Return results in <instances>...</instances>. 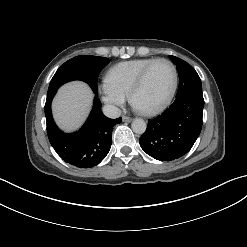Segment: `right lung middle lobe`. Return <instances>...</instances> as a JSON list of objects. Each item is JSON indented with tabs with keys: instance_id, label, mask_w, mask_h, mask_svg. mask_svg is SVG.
I'll return each mask as SVG.
<instances>
[{
	"instance_id": "right-lung-middle-lobe-1",
	"label": "right lung middle lobe",
	"mask_w": 247,
	"mask_h": 247,
	"mask_svg": "<svg viewBox=\"0 0 247 247\" xmlns=\"http://www.w3.org/2000/svg\"><path fill=\"white\" fill-rule=\"evenodd\" d=\"M110 62L108 58L98 56H76L65 62L51 79L48 93L55 92L66 82L82 80L90 85L94 93L98 92L97 78L100 71Z\"/></svg>"
}]
</instances>
